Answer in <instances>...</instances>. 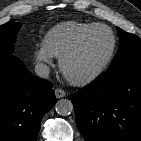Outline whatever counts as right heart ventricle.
Masks as SVG:
<instances>
[{
  "label": "right heart ventricle",
  "instance_id": "1",
  "mask_svg": "<svg viewBox=\"0 0 141 141\" xmlns=\"http://www.w3.org/2000/svg\"><path fill=\"white\" fill-rule=\"evenodd\" d=\"M95 24L79 21H67L57 24L45 34L43 47L52 57L60 58L83 32Z\"/></svg>",
  "mask_w": 141,
  "mask_h": 141
}]
</instances>
